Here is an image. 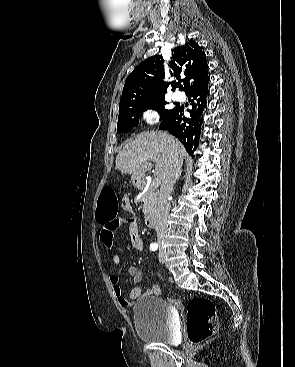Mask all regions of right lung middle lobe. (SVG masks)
Here are the masks:
<instances>
[{
  "label": "right lung middle lobe",
  "instance_id": "dd1d6c3e",
  "mask_svg": "<svg viewBox=\"0 0 295 367\" xmlns=\"http://www.w3.org/2000/svg\"><path fill=\"white\" fill-rule=\"evenodd\" d=\"M167 102L164 96L157 97L152 100L146 101H132L124 104L119 109L118 123H117V133L128 132L134 126L138 125V115L147 109H153L160 113V120L171 114L176 108L165 109Z\"/></svg>",
  "mask_w": 295,
  "mask_h": 367
}]
</instances>
